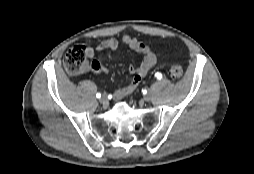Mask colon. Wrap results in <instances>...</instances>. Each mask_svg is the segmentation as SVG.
Wrapping results in <instances>:
<instances>
[{"label":"colon","instance_id":"obj_1","mask_svg":"<svg viewBox=\"0 0 254 174\" xmlns=\"http://www.w3.org/2000/svg\"><path fill=\"white\" fill-rule=\"evenodd\" d=\"M87 56L85 46L81 44L72 46L63 60L65 70L72 75L83 73L90 65ZM170 74L174 79H180L183 75V70L180 66L174 65L170 69Z\"/></svg>","mask_w":254,"mask_h":174}]
</instances>
